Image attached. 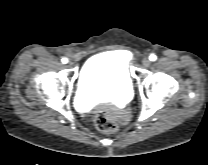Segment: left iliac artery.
<instances>
[{
	"instance_id": "1",
	"label": "left iliac artery",
	"mask_w": 208,
	"mask_h": 165,
	"mask_svg": "<svg viewBox=\"0 0 208 165\" xmlns=\"http://www.w3.org/2000/svg\"><path fill=\"white\" fill-rule=\"evenodd\" d=\"M149 59H150V61H155V60L157 59V56L154 55V54H151V55L149 56Z\"/></svg>"
}]
</instances>
